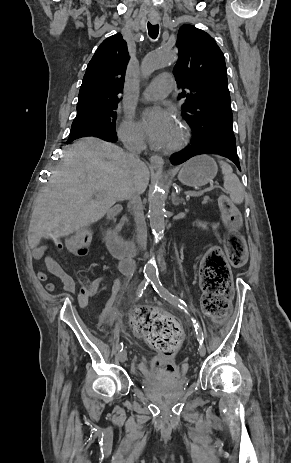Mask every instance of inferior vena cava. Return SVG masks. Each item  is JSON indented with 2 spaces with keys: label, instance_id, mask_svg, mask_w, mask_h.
Returning <instances> with one entry per match:
<instances>
[{
  "label": "inferior vena cava",
  "instance_id": "inferior-vena-cava-1",
  "mask_svg": "<svg viewBox=\"0 0 291 463\" xmlns=\"http://www.w3.org/2000/svg\"><path fill=\"white\" fill-rule=\"evenodd\" d=\"M122 142L124 147L127 149V159L132 166H138L141 164L139 158L140 153L146 149V144L140 133H130L123 137ZM126 199L129 200V204L134 216L136 224V236L138 244L143 250H146L147 246V228L143 216V205L140 198V193L133 186L129 187L126 191Z\"/></svg>",
  "mask_w": 291,
  "mask_h": 463
}]
</instances>
